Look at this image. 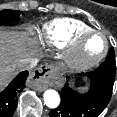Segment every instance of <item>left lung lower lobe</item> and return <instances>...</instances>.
<instances>
[{
    "mask_svg": "<svg viewBox=\"0 0 117 117\" xmlns=\"http://www.w3.org/2000/svg\"><path fill=\"white\" fill-rule=\"evenodd\" d=\"M90 81V89L79 93L70 87L69 83L61 89V103L50 111V117H98L108 105L115 81V72L101 65L89 73H82Z\"/></svg>",
    "mask_w": 117,
    "mask_h": 117,
    "instance_id": "left-lung-lower-lobe-1",
    "label": "left lung lower lobe"
}]
</instances>
